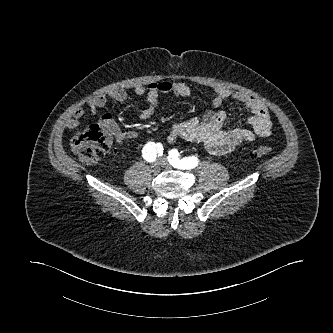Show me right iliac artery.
I'll use <instances>...</instances> for the list:
<instances>
[{"label":"right iliac artery","instance_id":"1","mask_svg":"<svg viewBox=\"0 0 333 333\" xmlns=\"http://www.w3.org/2000/svg\"><path fill=\"white\" fill-rule=\"evenodd\" d=\"M142 153L146 161L153 162L157 156H162L163 146L160 143L149 142L144 146Z\"/></svg>","mask_w":333,"mask_h":333}]
</instances>
